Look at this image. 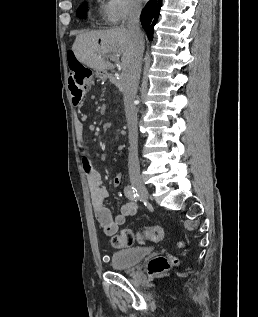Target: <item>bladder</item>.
I'll list each match as a JSON object with an SVG mask.
<instances>
[{"mask_svg":"<svg viewBox=\"0 0 258 317\" xmlns=\"http://www.w3.org/2000/svg\"><path fill=\"white\" fill-rule=\"evenodd\" d=\"M152 247L137 246L118 250L111 255V265L115 269H129L139 264L143 259L150 255Z\"/></svg>","mask_w":258,"mask_h":317,"instance_id":"bladder-1","label":"bladder"}]
</instances>
